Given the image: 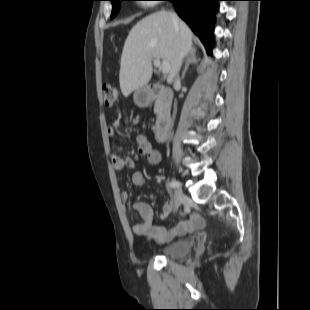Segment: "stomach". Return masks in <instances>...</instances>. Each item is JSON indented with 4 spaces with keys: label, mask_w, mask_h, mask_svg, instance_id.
<instances>
[{
    "label": "stomach",
    "mask_w": 310,
    "mask_h": 310,
    "mask_svg": "<svg viewBox=\"0 0 310 310\" xmlns=\"http://www.w3.org/2000/svg\"><path fill=\"white\" fill-rule=\"evenodd\" d=\"M144 90L143 89H137L134 93V101L136 104L143 106L147 103V99L143 97Z\"/></svg>",
    "instance_id": "obj_1"
}]
</instances>
